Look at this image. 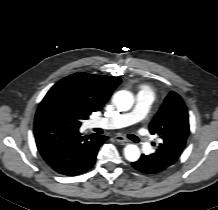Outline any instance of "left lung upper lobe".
<instances>
[{"label":"left lung upper lobe","mask_w":218,"mask_h":210,"mask_svg":"<svg viewBox=\"0 0 218 210\" xmlns=\"http://www.w3.org/2000/svg\"><path fill=\"white\" fill-rule=\"evenodd\" d=\"M150 132L160 136L156 151L175 159L181 155L189 134L188 111L182 98L170 92L150 123Z\"/></svg>","instance_id":"left-lung-upper-lobe-1"}]
</instances>
